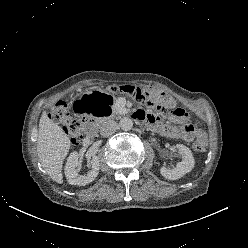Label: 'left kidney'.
Segmentation results:
<instances>
[{"label": "left kidney", "mask_w": 248, "mask_h": 248, "mask_svg": "<svg viewBox=\"0 0 248 248\" xmlns=\"http://www.w3.org/2000/svg\"><path fill=\"white\" fill-rule=\"evenodd\" d=\"M176 148L182 155V161L178 162L173 169L166 167L160 169L161 175L168 180H177L194 168L195 161L191 150L182 144H177Z\"/></svg>", "instance_id": "1"}]
</instances>
